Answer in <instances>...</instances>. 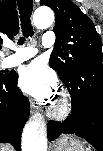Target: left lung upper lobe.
I'll return each instance as SVG.
<instances>
[{
  "instance_id": "1",
  "label": "left lung upper lobe",
  "mask_w": 103,
  "mask_h": 151,
  "mask_svg": "<svg viewBox=\"0 0 103 151\" xmlns=\"http://www.w3.org/2000/svg\"><path fill=\"white\" fill-rule=\"evenodd\" d=\"M55 13V48L49 64L61 80H68L75 71H83L85 80L91 78L87 69L90 59H103L99 34L91 19L71 0H41Z\"/></svg>"
}]
</instances>
